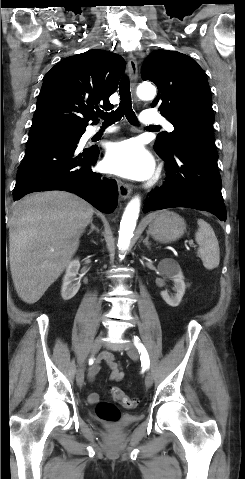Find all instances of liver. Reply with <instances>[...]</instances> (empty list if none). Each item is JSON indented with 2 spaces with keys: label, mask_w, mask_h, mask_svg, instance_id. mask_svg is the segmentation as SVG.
<instances>
[{
  "label": "liver",
  "mask_w": 245,
  "mask_h": 479,
  "mask_svg": "<svg viewBox=\"0 0 245 479\" xmlns=\"http://www.w3.org/2000/svg\"><path fill=\"white\" fill-rule=\"evenodd\" d=\"M93 213L86 201L63 191L34 193L13 205L10 270L15 290L24 302H37L62 274Z\"/></svg>",
  "instance_id": "6515ba94"
}]
</instances>
